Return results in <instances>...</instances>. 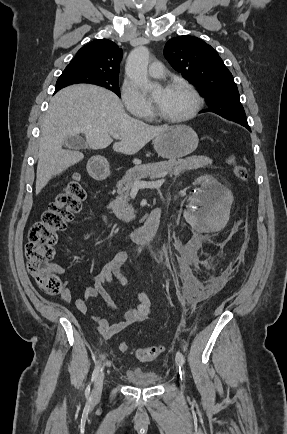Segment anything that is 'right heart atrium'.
<instances>
[{
	"label": "right heart atrium",
	"mask_w": 287,
	"mask_h": 434,
	"mask_svg": "<svg viewBox=\"0 0 287 434\" xmlns=\"http://www.w3.org/2000/svg\"><path fill=\"white\" fill-rule=\"evenodd\" d=\"M121 98L127 111L132 115L147 117L152 113L150 101L128 81L122 84Z\"/></svg>",
	"instance_id": "right-heart-atrium-1"
}]
</instances>
